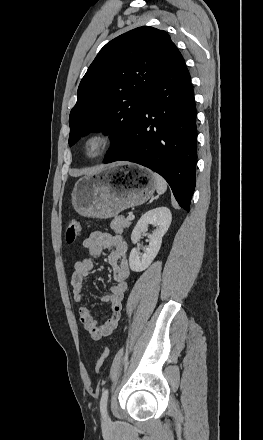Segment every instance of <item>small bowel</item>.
<instances>
[{"label":"small bowel","mask_w":263,"mask_h":440,"mask_svg":"<svg viewBox=\"0 0 263 440\" xmlns=\"http://www.w3.org/2000/svg\"><path fill=\"white\" fill-rule=\"evenodd\" d=\"M82 247L91 256L99 257L105 250L110 252L107 261L112 267L114 285L111 286L107 295L101 297V301L110 305V317L103 323L98 324L87 306H80L78 314L84 329L93 340H100L109 336L117 328L122 310V302L127 290V280L130 269L127 261V243L123 237L112 235L103 231H95L82 241ZM95 269L92 258H82L75 263L71 278L73 300L80 303L85 298V281Z\"/></svg>","instance_id":"obj_1"}]
</instances>
